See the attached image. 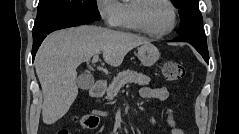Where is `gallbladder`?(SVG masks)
Returning <instances> with one entry per match:
<instances>
[{
	"label": "gallbladder",
	"mask_w": 239,
	"mask_h": 134,
	"mask_svg": "<svg viewBox=\"0 0 239 134\" xmlns=\"http://www.w3.org/2000/svg\"><path fill=\"white\" fill-rule=\"evenodd\" d=\"M94 83V79L88 75H81L77 80V85L81 89H89Z\"/></svg>",
	"instance_id": "1"
}]
</instances>
